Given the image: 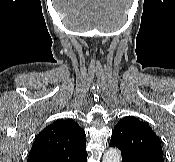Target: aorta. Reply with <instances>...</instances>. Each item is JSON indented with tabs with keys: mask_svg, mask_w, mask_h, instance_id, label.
Returning <instances> with one entry per match:
<instances>
[{
	"mask_svg": "<svg viewBox=\"0 0 175 162\" xmlns=\"http://www.w3.org/2000/svg\"><path fill=\"white\" fill-rule=\"evenodd\" d=\"M102 162H121V153L116 148L108 149L103 155Z\"/></svg>",
	"mask_w": 175,
	"mask_h": 162,
	"instance_id": "762f6f07",
	"label": "aorta"
}]
</instances>
